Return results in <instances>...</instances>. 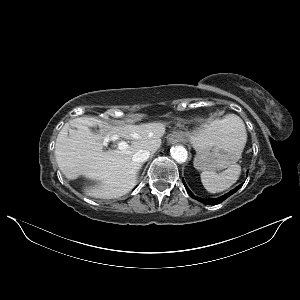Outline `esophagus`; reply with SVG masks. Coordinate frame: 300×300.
I'll use <instances>...</instances> for the list:
<instances>
[{"label":"esophagus","instance_id":"34e87169","mask_svg":"<svg viewBox=\"0 0 300 300\" xmlns=\"http://www.w3.org/2000/svg\"><path fill=\"white\" fill-rule=\"evenodd\" d=\"M169 142H170V143H175V142H176V139L173 138V137H171V138H169Z\"/></svg>","mask_w":300,"mask_h":300}]
</instances>
